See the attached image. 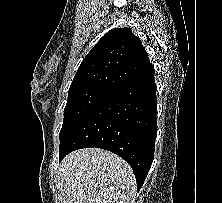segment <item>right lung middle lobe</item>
I'll return each instance as SVG.
<instances>
[{"instance_id": "dd1d6c3e", "label": "right lung middle lobe", "mask_w": 222, "mask_h": 203, "mask_svg": "<svg viewBox=\"0 0 222 203\" xmlns=\"http://www.w3.org/2000/svg\"><path fill=\"white\" fill-rule=\"evenodd\" d=\"M112 93V91L100 88L69 91L59 138L61 139L78 121L109 98Z\"/></svg>"}]
</instances>
